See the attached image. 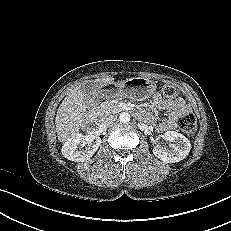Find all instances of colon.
<instances>
[{
    "instance_id": "obj_1",
    "label": "colon",
    "mask_w": 231,
    "mask_h": 231,
    "mask_svg": "<svg viewBox=\"0 0 231 231\" xmlns=\"http://www.w3.org/2000/svg\"><path fill=\"white\" fill-rule=\"evenodd\" d=\"M162 92L164 96L169 98H172L177 94L176 88L172 85H165ZM177 126L186 135H193L197 129V121L192 113H186L179 116Z\"/></svg>"
}]
</instances>
